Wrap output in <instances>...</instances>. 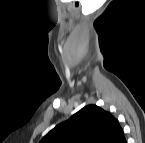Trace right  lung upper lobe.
I'll return each mask as SVG.
<instances>
[{"label": "right lung upper lobe", "instance_id": "cb5924a9", "mask_svg": "<svg viewBox=\"0 0 145 143\" xmlns=\"http://www.w3.org/2000/svg\"><path fill=\"white\" fill-rule=\"evenodd\" d=\"M39 143H126V139L118 120L89 105L57 125Z\"/></svg>", "mask_w": 145, "mask_h": 143}]
</instances>
